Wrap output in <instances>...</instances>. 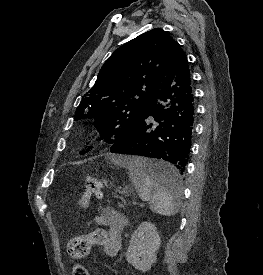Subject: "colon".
I'll list each match as a JSON object with an SVG mask.
<instances>
[{"label":"colon","instance_id":"1","mask_svg":"<svg viewBox=\"0 0 263 275\" xmlns=\"http://www.w3.org/2000/svg\"><path fill=\"white\" fill-rule=\"evenodd\" d=\"M103 185L99 179L88 178L84 184L79 206L86 208L90 205L93 198H101ZM103 235L100 231H94L86 235H78L71 238L67 244V254L73 260L85 258L92 246L102 242ZM72 275H89L86 266L76 263L73 266Z\"/></svg>","mask_w":263,"mask_h":275}]
</instances>
